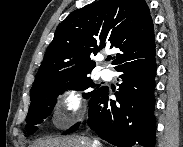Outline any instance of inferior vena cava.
Wrapping results in <instances>:
<instances>
[{
	"label": "inferior vena cava",
	"instance_id": "602c4592",
	"mask_svg": "<svg viewBox=\"0 0 183 147\" xmlns=\"http://www.w3.org/2000/svg\"><path fill=\"white\" fill-rule=\"evenodd\" d=\"M92 147H101V145L97 140H94L92 143Z\"/></svg>",
	"mask_w": 183,
	"mask_h": 147
}]
</instances>
